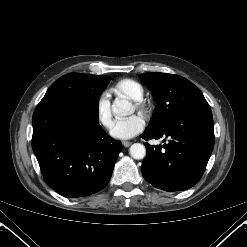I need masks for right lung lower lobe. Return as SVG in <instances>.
<instances>
[{
  "instance_id": "right-lung-lower-lobe-1",
  "label": "right lung lower lobe",
  "mask_w": 247,
  "mask_h": 247,
  "mask_svg": "<svg viewBox=\"0 0 247 247\" xmlns=\"http://www.w3.org/2000/svg\"><path fill=\"white\" fill-rule=\"evenodd\" d=\"M32 148L46 183L65 197H83L109 182L122 150L99 125V107L53 97L33 113Z\"/></svg>"
}]
</instances>
